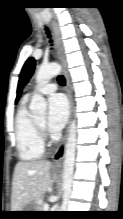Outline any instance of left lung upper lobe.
I'll return each instance as SVG.
<instances>
[{"instance_id": "5c2ea615", "label": "left lung upper lobe", "mask_w": 123, "mask_h": 219, "mask_svg": "<svg viewBox=\"0 0 123 219\" xmlns=\"http://www.w3.org/2000/svg\"><path fill=\"white\" fill-rule=\"evenodd\" d=\"M34 68H35V60L33 57H31L25 62L24 66L22 68V71L20 73L19 82H18V89H17L18 93L20 92L21 88L27 83V81L32 76Z\"/></svg>"}]
</instances>
